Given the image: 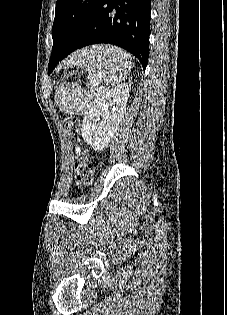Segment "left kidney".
Returning a JSON list of instances; mask_svg holds the SVG:
<instances>
[{"label":"left kidney","instance_id":"obj_1","mask_svg":"<svg viewBox=\"0 0 227 315\" xmlns=\"http://www.w3.org/2000/svg\"><path fill=\"white\" fill-rule=\"evenodd\" d=\"M128 97L129 86L118 85L104 92L96 105L85 115L82 137L95 151L103 150L112 140L125 114Z\"/></svg>","mask_w":227,"mask_h":315}]
</instances>
